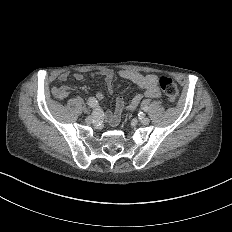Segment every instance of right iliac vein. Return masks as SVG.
<instances>
[{"label": "right iliac vein", "mask_w": 232, "mask_h": 232, "mask_svg": "<svg viewBox=\"0 0 232 232\" xmlns=\"http://www.w3.org/2000/svg\"><path fill=\"white\" fill-rule=\"evenodd\" d=\"M85 122L88 123V124H91V123H92V117H91V116H88V117L85 119Z\"/></svg>", "instance_id": "1"}]
</instances>
